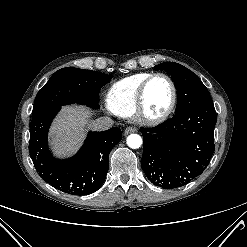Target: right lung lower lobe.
I'll use <instances>...</instances> for the list:
<instances>
[{"mask_svg": "<svg viewBox=\"0 0 247 247\" xmlns=\"http://www.w3.org/2000/svg\"><path fill=\"white\" fill-rule=\"evenodd\" d=\"M61 106L32 114L29 151L39 175L56 189L73 195H88L100 188L108 172L109 153L121 141V129L89 132L74 157L55 159L48 149L47 136L52 119Z\"/></svg>", "mask_w": 247, "mask_h": 247, "instance_id": "1", "label": "right lung lower lobe"}]
</instances>
